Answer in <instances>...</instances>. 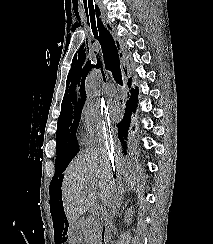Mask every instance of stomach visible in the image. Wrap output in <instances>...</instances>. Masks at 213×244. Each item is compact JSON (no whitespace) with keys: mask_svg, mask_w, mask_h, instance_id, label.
<instances>
[{"mask_svg":"<svg viewBox=\"0 0 213 244\" xmlns=\"http://www.w3.org/2000/svg\"><path fill=\"white\" fill-rule=\"evenodd\" d=\"M71 226L69 235L71 239H68V244H79V240L82 239L83 229L80 226L83 225L82 221H70Z\"/></svg>","mask_w":213,"mask_h":244,"instance_id":"obj_1","label":"stomach"}]
</instances>
